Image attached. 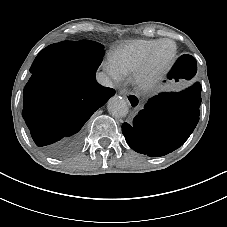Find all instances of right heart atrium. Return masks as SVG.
<instances>
[{
  "label": "right heart atrium",
  "instance_id": "obj_1",
  "mask_svg": "<svg viewBox=\"0 0 227 227\" xmlns=\"http://www.w3.org/2000/svg\"><path fill=\"white\" fill-rule=\"evenodd\" d=\"M103 69L114 84L120 83L125 77L124 70L112 61L105 62L103 64Z\"/></svg>",
  "mask_w": 227,
  "mask_h": 227
}]
</instances>
